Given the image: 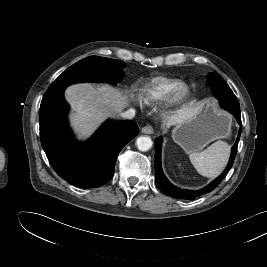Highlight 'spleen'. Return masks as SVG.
<instances>
[{
    "mask_svg": "<svg viewBox=\"0 0 267 267\" xmlns=\"http://www.w3.org/2000/svg\"><path fill=\"white\" fill-rule=\"evenodd\" d=\"M229 156L230 146L219 140L202 152L190 154L189 159L200 175L215 178L226 167Z\"/></svg>",
    "mask_w": 267,
    "mask_h": 267,
    "instance_id": "spleen-1",
    "label": "spleen"
}]
</instances>
